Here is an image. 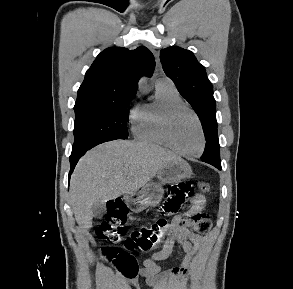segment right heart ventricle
Masks as SVG:
<instances>
[{"instance_id":"1","label":"right heart ventricle","mask_w":293,"mask_h":289,"mask_svg":"<svg viewBox=\"0 0 293 289\" xmlns=\"http://www.w3.org/2000/svg\"><path fill=\"white\" fill-rule=\"evenodd\" d=\"M182 103L173 85L156 86L154 101L141 105L133 113V135L142 142L167 147L162 132L164 112L170 106Z\"/></svg>"}]
</instances>
